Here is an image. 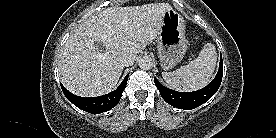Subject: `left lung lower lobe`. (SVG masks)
Listing matches in <instances>:
<instances>
[{
	"mask_svg": "<svg viewBox=\"0 0 276 138\" xmlns=\"http://www.w3.org/2000/svg\"><path fill=\"white\" fill-rule=\"evenodd\" d=\"M223 76V62L220 58L219 70L213 81L206 87L193 92H177L164 87L154 78L156 87L159 89L162 98L170 105L184 110L194 109L208 101L218 90Z\"/></svg>",
	"mask_w": 276,
	"mask_h": 138,
	"instance_id": "obj_1",
	"label": "left lung lower lobe"
}]
</instances>
